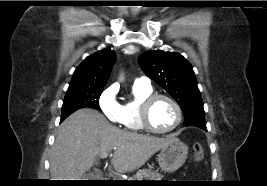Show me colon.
<instances>
[{"mask_svg": "<svg viewBox=\"0 0 267 186\" xmlns=\"http://www.w3.org/2000/svg\"><path fill=\"white\" fill-rule=\"evenodd\" d=\"M193 159L195 161H200L203 158L204 150L200 143H194L192 145Z\"/></svg>", "mask_w": 267, "mask_h": 186, "instance_id": "1", "label": "colon"}]
</instances>
